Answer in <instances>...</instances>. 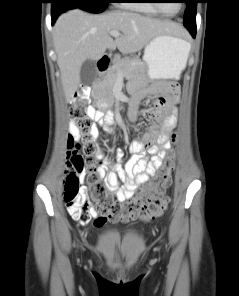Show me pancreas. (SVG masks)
<instances>
[{
	"label": "pancreas",
	"instance_id": "obj_1",
	"mask_svg": "<svg viewBox=\"0 0 239 296\" xmlns=\"http://www.w3.org/2000/svg\"><path fill=\"white\" fill-rule=\"evenodd\" d=\"M144 63L136 58L125 57L116 59L114 65L108 69L106 74L93 87V95L103 98L110 103L113 98V88L120 76L122 77H144ZM121 72V74H119Z\"/></svg>",
	"mask_w": 239,
	"mask_h": 296
}]
</instances>
